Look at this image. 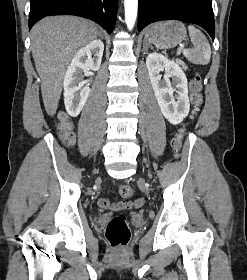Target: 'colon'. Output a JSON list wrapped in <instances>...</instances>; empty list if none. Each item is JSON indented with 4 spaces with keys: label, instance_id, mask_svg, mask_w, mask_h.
I'll list each match as a JSON object with an SVG mask.
<instances>
[{
    "label": "colon",
    "instance_id": "colon-1",
    "mask_svg": "<svg viewBox=\"0 0 247 280\" xmlns=\"http://www.w3.org/2000/svg\"><path fill=\"white\" fill-rule=\"evenodd\" d=\"M190 90L191 103L193 105L192 116L195 117L203 103L202 82L199 75H196L191 80ZM58 131L63 142L71 143L73 141L72 122L66 114H61L59 116ZM184 136L185 130L181 129L171 142L176 154H179L181 150ZM118 192L122 198H131L134 195L133 188L126 184L120 185ZM130 235V228L124 215L114 216L109 221L105 231V236L110 245L113 247H123L127 245L130 240Z\"/></svg>",
    "mask_w": 247,
    "mask_h": 280
}]
</instances>
